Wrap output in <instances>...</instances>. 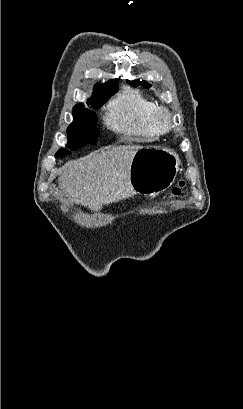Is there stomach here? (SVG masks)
Returning <instances> with one entry per match:
<instances>
[{
    "instance_id": "stomach-1",
    "label": "stomach",
    "mask_w": 243,
    "mask_h": 409,
    "mask_svg": "<svg viewBox=\"0 0 243 409\" xmlns=\"http://www.w3.org/2000/svg\"><path fill=\"white\" fill-rule=\"evenodd\" d=\"M179 165L178 155L169 149L140 148L130 165V186L135 193L157 195L172 185Z\"/></svg>"
}]
</instances>
